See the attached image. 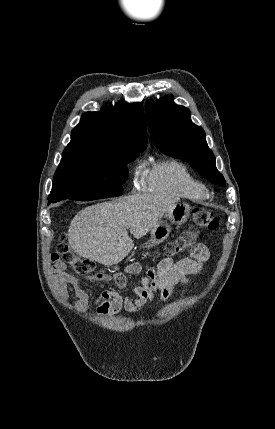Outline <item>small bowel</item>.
I'll return each mask as SVG.
<instances>
[{
  "mask_svg": "<svg viewBox=\"0 0 275 429\" xmlns=\"http://www.w3.org/2000/svg\"><path fill=\"white\" fill-rule=\"evenodd\" d=\"M208 258L207 247L200 243L193 247L185 258L176 262L171 258H165L156 269L141 263H131L125 268L126 273L139 274L145 271L140 280L141 284L132 287L127 286L123 273L97 276L95 280L113 281L120 288L132 293L122 296L113 290H103L95 301L97 311L103 316H112L122 309L138 313L143 306L153 300L156 292L160 294L162 300H167L177 285L190 284L189 275L199 273ZM55 277L59 295L66 297V286L71 285L77 298L74 306L77 310L83 309L88 303L89 295L82 286V279L67 273L65 264L60 261L55 265Z\"/></svg>",
  "mask_w": 275,
  "mask_h": 429,
  "instance_id": "c3829d8e",
  "label": "small bowel"
}]
</instances>
